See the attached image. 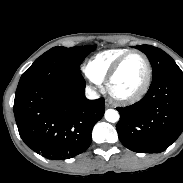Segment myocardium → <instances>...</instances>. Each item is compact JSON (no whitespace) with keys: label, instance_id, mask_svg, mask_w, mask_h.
Returning a JSON list of instances; mask_svg holds the SVG:
<instances>
[{"label":"myocardium","instance_id":"myocardium-1","mask_svg":"<svg viewBox=\"0 0 183 183\" xmlns=\"http://www.w3.org/2000/svg\"><path fill=\"white\" fill-rule=\"evenodd\" d=\"M132 54H138L144 61L145 63V67H146V76H145V80L142 84V86L140 87V89L138 91H136L133 94L127 95V96H121L118 95L116 93H114L111 89V83L112 80L114 79L115 75L117 74V72L119 71L121 65L123 64V62L126 60V58ZM152 82V67H151V63L148 59V57L140 50L137 49H131L128 50L127 52H125L123 55H121L111 66V68L109 69L106 77H105V86L106 89L108 91V93L112 96V98H114L116 101L123 103V104H131L134 102L139 101L140 99H142L146 93L148 92L150 85Z\"/></svg>","mask_w":183,"mask_h":183}]
</instances>
